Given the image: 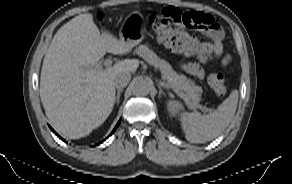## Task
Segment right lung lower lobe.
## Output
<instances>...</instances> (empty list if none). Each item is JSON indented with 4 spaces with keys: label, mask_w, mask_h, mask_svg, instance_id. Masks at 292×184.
Instances as JSON below:
<instances>
[{
    "label": "right lung lower lobe",
    "mask_w": 292,
    "mask_h": 184,
    "mask_svg": "<svg viewBox=\"0 0 292 184\" xmlns=\"http://www.w3.org/2000/svg\"><path fill=\"white\" fill-rule=\"evenodd\" d=\"M119 124H120V121L117 123V125L115 126L114 130L112 131V133L117 129ZM51 130L61 139V137L52 128H51Z\"/></svg>",
    "instance_id": "98d812e1"
}]
</instances>
